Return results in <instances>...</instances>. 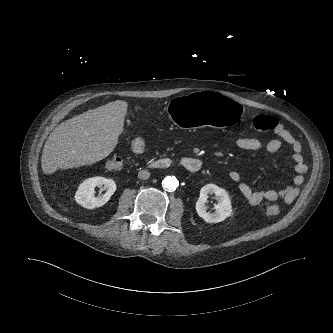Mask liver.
<instances>
[{"label":"liver","instance_id":"6515ba94","mask_svg":"<svg viewBox=\"0 0 333 333\" xmlns=\"http://www.w3.org/2000/svg\"><path fill=\"white\" fill-rule=\"evenodd\" d=\"M127 108V102L116 100L59 124L44 145L43 172L91 165L109 156L123 132Z\"/></svg>","mask_w":333,"mask_h":333}]
</instances>
